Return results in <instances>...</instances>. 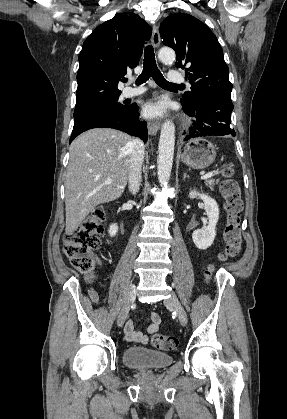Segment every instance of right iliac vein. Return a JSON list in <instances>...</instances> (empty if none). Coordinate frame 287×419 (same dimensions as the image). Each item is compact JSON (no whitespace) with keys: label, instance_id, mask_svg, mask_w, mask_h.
<instances>
[{"label":"right iliac vein","instance_id":"obj_1","mask_svg":"<svg viewBox=\"0 0 287 419\" xmlns=\"http://www.w3.org/2000/svg\"><path fill=\"white\" fill-rule=\"evenodd\" d=\"M136 299V288L133 286L129 289L127 296L125 298L124 301V305L119 313L118 319H117V325L118 327H122L124 322L127 319L130 307L132 305V303L135 301Z\"/></svg>","mask_w":287,"mask_h":419}]
</instances>
